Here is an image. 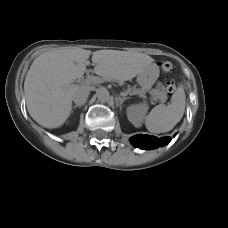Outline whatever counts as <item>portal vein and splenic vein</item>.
Returning <instances> with one entry per match:
<instances>
[{"instance_id": "1", "label": "portal vein and splenic vein", "mask_w": 228, "mask_h": 228, "mask_svg": "<svg viewBox=\"0 0 228 228\" xmlns=\"http://www.w3.org/2000/svg\"><path fill=\"white\" fill-rule=\"evenodd\" d=\"M94 80H95V78L90 77V78L85 79V83H86V84H89L90 82H92V81H94Z\"/></svg>"}]
</instances>
